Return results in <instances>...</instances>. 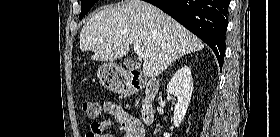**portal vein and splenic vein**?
Wrapping results in <instances>:
<instances>
[{
  "instance_id": "obj_1",
  "label": "portal vein and splenic vein",
  "mask_w": 280,
  "mask_h": 137,
  "mask_svg": "<svg viewBox=\"0 0 280 137\" xmlns=\"http://www.w3.org/2000/svg\"><path fill=\"white\" fill-rule=\"evenodd\" d=\"M133 48H134L135 53H136L140 58H146V57L149 56L148 53H145V52L142 51L140 45L134 44Z\"/></svg>"
}]
</instances>
